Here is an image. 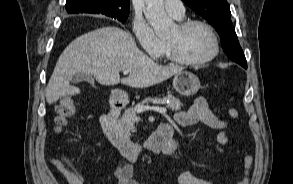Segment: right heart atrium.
<instances>
[{
	"label": "right heart atrium",
	"mask_w": 293,
	"mask_h": 184,
	"mask_svg": "<svg viewBox=\"0 0 293 184\" xmlns=\"http://www.w3.org/2000/svg\"><path fill=\"white\" fill-rule=\"evenodd\" d=\"M132 30L138 44L150 57L158 58L161 56L165 42L155 34L152 27L144 19H135Z\"/></svg>",
	"instance_id": "d8ad5b80"
}]
</instances>
